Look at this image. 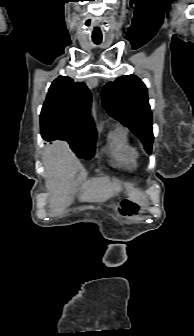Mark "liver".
Instances as JSON below:
<instances>
[{"instance_id": "1", "label": "liver", "mask_w": 194, "mask_h": 336, "mask_svg": "<svg viewBox=\"0 0 194 336\" xmlns=\"http://www.w3.org/2000/svg\"><path fill=\"white\" fill-rule=\"evenodd\" d=\"M43 165L47 174L46 187L52 192L49 208L52 215L60 214L72 203L80 163L64 143H55L44 151ZM81 202H105L118 195L121 186L109 178H92L81 186Z\"/></svg>"}]
</instances>
